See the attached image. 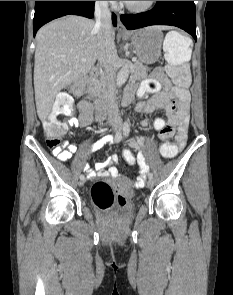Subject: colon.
Returning a JSON list of instances; mask_svg holds the SVG:
<instances>
[{"instance_id": "obj_1", "label": "colon", "mask_w": 233, "mask_h": 295, "mask_svg": "<svg viewBox=\"0 0 233 295\" xmlns=\"http://www.w3.org/2000/svg\"><path fill=\"white\" fill-rule=\"evenodd\" d=\"M164 53L166 58V71L173 79L172 91L180 95L188 91L191 83L189 74V62L192 54V43L188 36L172 31L167 34L164 41ZM87 85L86 79H78L70 84L66 92L57 95L52 111L44 121L43 127L50 147H58L67 132L68 125L62 120L64 116L73 113L72 96L81 94ZM172 129L165 127L159 132L163 139L160 151L165 158L175 156L179 150L177 142L172 138ZM124 161L129 165L136 163V157L129 149L122 152ZM93 202L100 209H109L115 202V195L110 185L105 181H97L91 188Z\"/></svg>"}]
</instances>
